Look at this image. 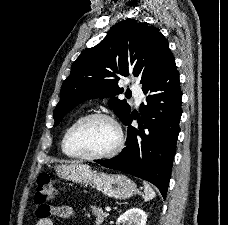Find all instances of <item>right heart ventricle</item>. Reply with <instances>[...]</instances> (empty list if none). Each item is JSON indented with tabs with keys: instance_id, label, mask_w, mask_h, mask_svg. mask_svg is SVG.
Listing matches in <instances>:
<instances>
[{
	"instance_id": "right-heart-ventricle-1",
	"label": "right heart ventricle",
	"mask_w": 228,
	"mask_h": 225,
	"mask_svg": "<svg viewBox=\"0 0 228 225\" xmlns=\"http://www.w3.org/2000/svg\"><path fill=\"white\" fill-rule=\"evenodd\" d=\"M61 149H62V151L65 153L64 148H63V139H62V141H61Z\"/></svg>"
}]
</instances>
